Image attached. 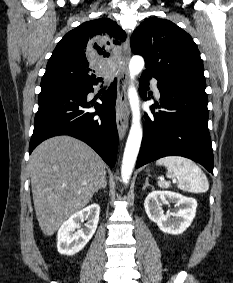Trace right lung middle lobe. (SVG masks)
<instances>
[{
  "label": "right lung middle lobe",
  "instance_id": "dd1d6c3e",
  "mask_svg": "<svg viewBox=\"0 0 233 283\" xmlns=\"http://www.w3.org/2000/svg\"><path fill=\"white\" fill-rule=\"evenodd\" d=\"M57 85H63V86H80L78 84L66 82V81H47V82H41V88L51 87V86H57Z\"/></svg>",
  "mask_w": 233,
  "mask_h": 283
}]
</instances>
